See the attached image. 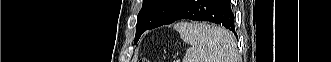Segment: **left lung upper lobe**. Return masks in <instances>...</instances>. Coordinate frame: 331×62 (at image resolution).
Wrapping results in <instances>:
<instances>
[{"mask_svg": "<svg viewBox=\"0 0 331 62\" xmlns=\"http://www.w3.org/2000/svg\"><path fill=\"white\" fill-rule=\"evenodd\" d=\"M184 0H143L138 14L137 30L141 26L149 29L163 25Z\"/></svg>", "mask_w": 331, "mask_h": 62, "instance_id": "left-lung-upper-lobe-1", "label": "left lung upper lobe"}]
</instances>
